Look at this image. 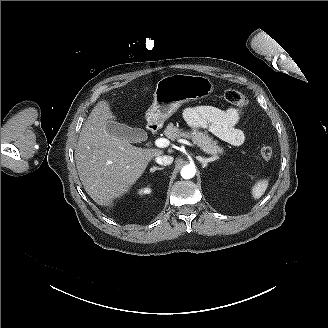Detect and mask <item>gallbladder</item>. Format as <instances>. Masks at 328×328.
<instances>
[{"label":"gallbladder","mask_w":328,"mask_h":328,"mask_svg":"<svg viewBox=\"0 0 328 328\" xmlns=\"http://www.w3.org/2000/svg\"><path fill=\"white\" fill-rule=\"evenodd\" d=\"M105 133L130 143H140L148 138L147 132L141 128H132L126 124L109 120L105 123Z\"/></svg>","instance_id":"gallbladder-1"}]
</instances>
